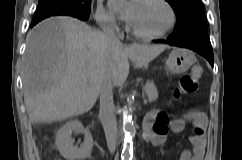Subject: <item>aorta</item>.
Returning a JSON list of instances; mask_svg holds the SVG:
<instances>
[{"instance_id":"762f6f07","label":"aorta","mask_w":242,"mask_h":160,"mask_svg":"<svg viewBox=\"0 0 242 160\" xmlns=\"http://www.w3.org/2000/svg\"><path fill=\"white\" fill-rule=\"evenodd\" d=\"M122 131L124 143L121 154L122 160H132L133 157V139L135 137V127L130 115H125L123 119Z\"/></svg>"}]
</instances>
